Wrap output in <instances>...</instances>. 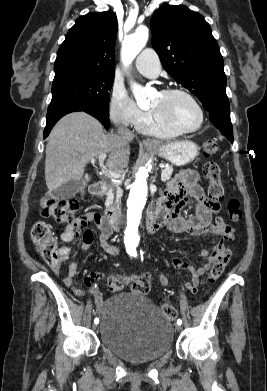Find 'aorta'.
Listing matches in <instances>:
<instances>
[{"instance_id": "762f6f07", "label": "aorta", "mask_w": 267, "mask_h": 391, "mask_svg": "<svg viewBox=\"0 0 267 391\" xmlns=\"http://www.w3.org/2000/svg\"><path fill=\"white\" fill-rule=\"evenodd\" d=\"M149 37L148 28L140 26L136 31L124 38L121 59L124 65L128 66L145 47ZM132 93L138 105H143L148 101V89L131 82ZM148 176L149 171L146 166H140L135 174L129 197L127 200V227L125 231V242L130 252H135L139 242V225L142 218V211L148 196Z\"/></svg>"}]
</instances>
